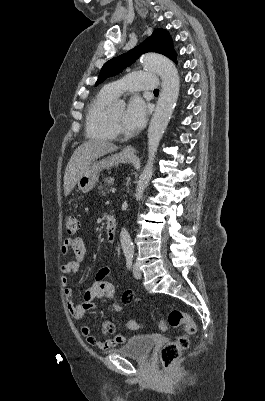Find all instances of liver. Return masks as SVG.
Here are the masks:
<instances>
[{
	"label": "liver",
	"instance_id": "obj_1",
	"mask_svg": "<svg viewBox=\"0 0 265 401\" xmlns=\"http://www.w3.org/2000/svg\"><path fill=\"white\" fill-rule=\"evenodd\" d=\"M118 146L108 140H85L76 150H74L64 174V192L65 196L71 192L78 178L88 168L92 160H96L103 154L117 150Z\"/></svg>",
	"mask_w": 265,
	"mask_h": 401
}]
</instances>
